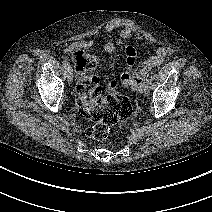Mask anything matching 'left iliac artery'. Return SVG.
<instances>
[{"label": "left iliac artery", "instance_id": "left-iliac-artery-1", "mask_svg": "<svg viewBox=\"0 0 212 212\" xmlns=\"http://www.w3.org/2000/svg\"><path fill=\"white\" fill-rule=\"evenodd\" d=\"M143 87H144V90L146 93H149L150 92V88H151V81L149 79V75H147L144 80H143V83H142Z\"/></svg>", "mask_w": 212, "mask_h": 212}]
</instances>
